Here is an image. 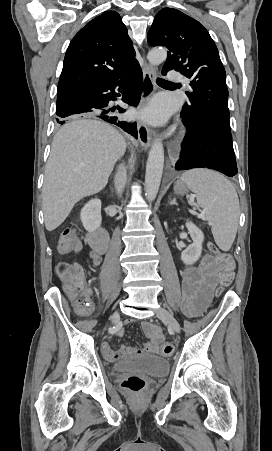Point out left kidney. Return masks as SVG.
Masks as SVG:
<instances>
[{"instance_id":"1","label":"left kidney","mask_w":272,"mask_h":451,"mask_svg":"<svg viewBox=\"0 0 272 451\" xmlns=\"http://www.w3.org/2000/svg\"><path fill=\"white\" fill-rule=\"evenodd\" d=\"M185 226L193 239V243H190L186 249H183L181 259L184 263H187V265H191V263H195L201 255L204 233L199 227L192 224V222H186Z\"/></svg>"}]
</instances>
